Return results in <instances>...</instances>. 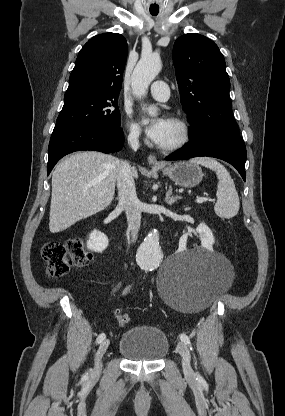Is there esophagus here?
Instances as JSON below:
<instances>
[{
    "instance_id": "esophagus-1",
    "label": "esophagus",
    "mask_w": 285,
    "mask_h": 416,
    "mask_svg": "<svg viewBox=\"0 0 285 416\" xmlns=\"http://www.w3.org/2000/svg\"><path fill=\"white\" fill-rule=\"evenodd\" d=\"M148 162L150 165H154V166H162L160 162H158L157 158L155 155H149L148 156Z\"/></svg>"
}]
</instances>
